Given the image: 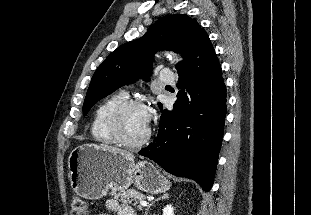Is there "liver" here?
I'll return each instance as SVG.
<instances>
[{
  "label": "liver",
  "mask_w": 311,
  "mask_h": 215,
  "mask_svg": "<svg viewBox=\"0 0 311 215\" xmlns=\"http://www.w3.org/2000/svg\"><path fill=\"white\" fill-rule=\"evenodd\" d=\"M99 146L104 148V149H106V150H108V151H110V152L120 153V154L126 155V156H128V157H130L132 159L134 158V156L131 153H129V152L125 151V150H121V149H118L116 147H112V146H109V145H106V144H101Z\"/></svg>",
  "instance_id": "1"
}]
</instances>
